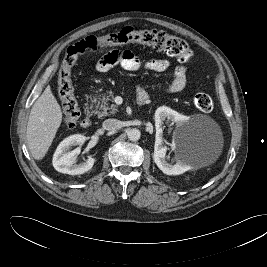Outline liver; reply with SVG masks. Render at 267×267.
<instances>
[{
    "label": "liver",
    "mask_w": 267,
    "mask_h": 267,
    "mask_svg": "<svg viewBox=\"0 0 267 267\" xmlns=\"http://www.w3.org/2000/svg\"><path fill=\"white\" fill-rule=\"evenodd\" d=\"M62 111L50 86L33 104L27 123V144L35 160H42L62 122Z\"/></svg>",
    "instance_id": "6515ba94"
}]
</instances>
